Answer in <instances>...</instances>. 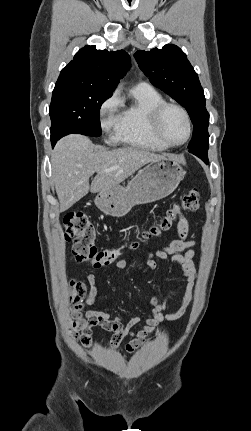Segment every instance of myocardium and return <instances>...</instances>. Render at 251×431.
Segmentation results:
<instances>
[{
	"label": "myocardium",
	"instance_id": "obj_1",
	"mask_svg": "<svg viewBox=\"0 0 251 431\" xmlns=\"http://www.w3.org/2000/svg\"><path fill=\"white\" fill-rule=\"evenodd\" d=\"M168 108H176L177 110H179L182 113V115L184 116V119L186 121L187 134H186V137L181 142H178V143L170 142L162 134L161 119H162L164 112ZM150 129H151L153 136L163 145H165L167 147H179V146L185 144L190 139L191 134H192V123H191V119H190V116H189L187 110L182 105L175 103V102L162 101L161 103L156 105L150 113Z\"/></svg>",
	"mask_w": 251,
	"mask_h": 431
}]
</instances>
